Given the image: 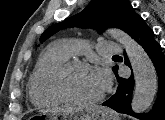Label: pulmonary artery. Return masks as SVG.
Listing matches in <instances>:
<instances>
[{
    "label": "pulmonary artery",
    "mask_w": 165,
    "mask_h": 120,
    "mask_svg": "<svg viewBox=\"0 0 165 120\" xmlns=\"http://www.w3.org/2000/svg\"><path fill=\"white\" fill-rule=\"evenodd\" d=\"M56 48L66 56L78 54L87 50V46L83 43L65 40L56 45ZM98 52L101 55L112 56L123 52V47L115 42H102L98 46Z\"/></svg>",
    "instance_id": "e3ab8cb5"
}]
</instances>
